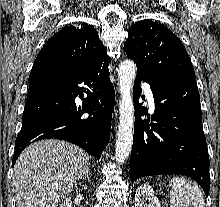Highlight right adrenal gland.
Masks as SVG:
<instances>
[{
	"instance_id": "2a0ac1e0",
	"label": "right adrenal gland",
	"mask_w": 220,
	"mask_h": 207,
	"mask_svg": "<svg viewBox=\"0 0 220 207\" xmlns=\"http://www.w3.org/2000/svg\"><path fill=\"white\" fill-rule=\"evenodd\" d=\"M90 175H91V172H90V170H89V171L86 172V174H85L81 179H82V180H86V179L89 180Z\"/></svg>"
}]
</instances>
